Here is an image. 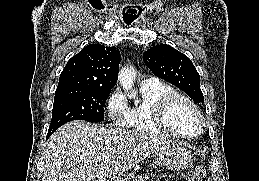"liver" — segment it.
Returning a JSON list of instances; mask_svg holds the SVG:
<instances>
[{
    "instance_id": "obj_1",
    "label": "liver",
    "mask_w": 259,
    "mask_h": 181,
    "mask_svg": "<svg viewBox=\"0 0 259 181\" xmlns=\"http://www.w3.org/2000/svg\"><path fill=\"white\" fill-rule=\"evenodd\" d=\"M171 143L134 130L69 122L49 138L43 181H109Z\"/></svg>"
}]
</instances>
